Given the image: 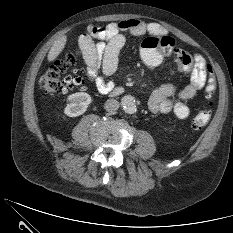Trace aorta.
I'll list each match as a JSON object with an SVG mask.
<instances>
[{
    "label": "aorta",
    "mask_w": 233,
    "mask_h": 233,
    "mask_svg": "<svg viewBox=\"0 0 233 233\" xmlns=\"http://www.w3.org/2000/svg\"><path fill=\"white\" fill-rule=\"evenodd\" d=\"M121 106L128 114H133L136 112V101L132 95L123 96L121 99Z\"/></svg>",
    "instance_id": "aorta-1"
}]
</instances>
